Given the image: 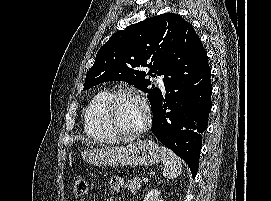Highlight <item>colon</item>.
<instances>
[{
    "mask_svg": "<svg viewBox=\"0 0 271 201\" xmlns=\"http://www.w3.org/2000/svg\"><path fill=\"white\" fill-rule=\"evenodd\" d=\"M88 191V182L84 176H79L74 183V193L77 196H84Z\"/></svg>",
    "mask_w": 271,
    "mask_h": 201,
    "instance_id": "obj_1",
    "label": "colon"
}]
</instances>
